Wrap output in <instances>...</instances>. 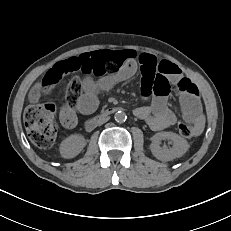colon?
Instances as JSON below:
<instances>
[{"mask_svg": "<svg viewBox=\"0 0 231 231\" xmlns=\"http://www.w3.org/2000/svg\"><path fill=\"white\" fill-rule=\"evenodd\" d=\"M58 82L43 78L29 93V105L24 112V124L30 140L40 148L50 147L57 132L56 106L53 103L40 102V98L48 95L51 87ZM156 88L160 95H168L170 91V86L160 78L156 80ZM175 88L187 95L197 96L198 94L197 87L184 76L177 80ZM177 129L185 138H191L196 134L195 127L186 122H179Z\"/></svg>", "mask_w": 231, "mask_h": 231, "instance_id": "1", "label": "colon"}]
</instances>
